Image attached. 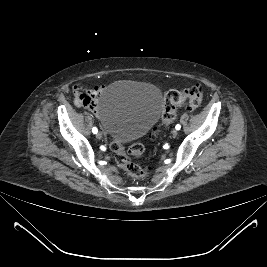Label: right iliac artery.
Instances as JSON below:
<instances>
[{"instance_id": "82829eb1", "label": "right iliac artery", "mask_w": 267, "mask_h": 267, "mask_svg": "<svg viewBox=\"0 0 267 267\" xmlns=\"http://www.w3.org/2000/svg\"><path fill=\"white\" fill-rule=\"evenodd\" d=\"M97 128L96 127H94L93 129H92V132L94 133V134H96L97 133Z\"/></svg>"}]
</instances>
